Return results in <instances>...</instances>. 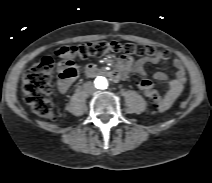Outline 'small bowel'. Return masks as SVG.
Instances as JSON below:
<instances>
[{"label": "small bowel", "instance_id": "obj_1", "mask_svg": "<svg viewBox=\"0 0 212 183\" xmlns=\"http://www.w3.org/2000/svg\"><path fill=\"white\" fill-rule=\"evenodd\" d=\"M148 62L157 63L156 60H153L147 57H142L134 61L129 56H122L118 61V69L122 74H126L128 72H136L141 77H144L146 75L145 65ZM174 66L176 68V74L172 80H168L167 74L162 71H158L153 74V79L155 81L168 82V91L164 97V100L160 103L158 108L155 109L157 112H164L172 106V104L181 94L184 84L186 82V71L183 64L179 60H175ZM74 79L75 78L73 79L64 78L62 74H60L58 82H57L59 91L61 93H66L69 90ZM146 81H150V80L145 78H139L136 80V85L141 91H144L143 84ZM150 83H151L150 86L153 87V84L151 81Z\"/></svg>", "mask_w": 212, "mask_h": 183}]
</instances>
